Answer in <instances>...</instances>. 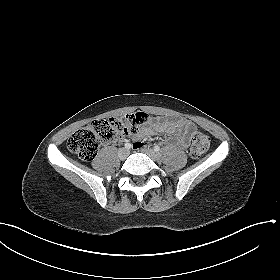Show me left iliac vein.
<instances>
[{
    "instance_id": "obj_1",
    "label": "left iliac vein",
    "mask_w": 280,
    "mask_h": 280,
    "mask_svg": "<svg viewBox=\"0 0 280 280\" xmlns=\"http://www.w3.org/2000/svg\"><path fill=\"white\" fill-rule=\"evenodd\" d=\"M143 152L146 153L148 156H150L153 160L160 159V155L153 149L145 148L143 149Z\"/></svg>"
}]
</instances>
